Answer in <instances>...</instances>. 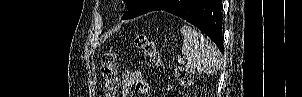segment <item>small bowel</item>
Listing matches in <instances>:
<instances>
[{
    "label": "small bowel",
    "instance_id": "1",
    "mask_svg": "<svg viewBox=\"0 0 302 97\" xmlns=\"http://www.w3.org/2000/svg\"><path fill=\"white\" fill-rule=\"evenodd\" d=\"M135 88L139 97H146L149 91L142 72L124 70L122 73V97H130V91Z\"/></svg>",
    "mask_w": 302,
    "mask_h": 97
}]
</instances>
